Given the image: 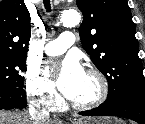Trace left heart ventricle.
Returning a JSON list of instances; mask_svg holds the SVG:
<instances>
[{"label":"left heart ventricle","mask_w":145,"mask_h":124,"mask_svg":"<svg viewBox=\"0 0 145 124\" xmlns=\"http://www.w3.org/2000/svg\"><path fill=\"white\" fill-rule=\"evenodd\" d=\"M98 91L97 80L93 76L85 74L74 95L69 99L75 103H85L93 100L98 95Z\"/></svg>","instance_id":"1"}]
</instances>
